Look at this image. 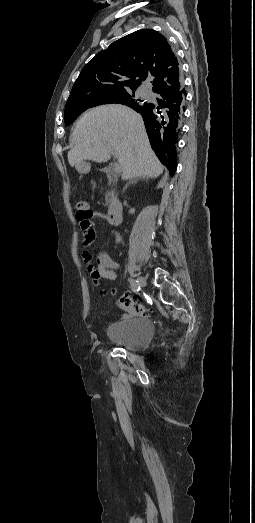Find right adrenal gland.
I'll return each mask as SVG.
<instances>
[{"mask_svg":"<svg viewBox=\"0 0 255 523\" xmlns=\"http://www.w3.org/2000/svg\"><path fill=\"white\" fill-rule=\"evenodd\" d=\"M139 178H145L146 180V176H139ZM139 178H134V180H130V182H128V184H126L125 188H123V190H127L129 184H136L137 180H139Z\"/></svg>","mask_w":255,"mask_h":523,"instance_id":"obj_1","label":"right adrenal gland"}]
</instances>
